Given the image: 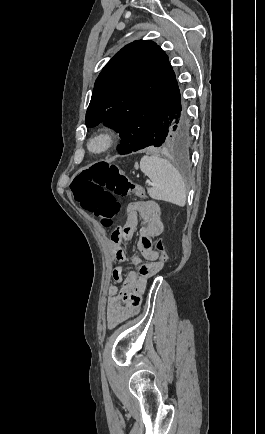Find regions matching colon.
<instances>
[{
  "label": "colon",
  "instance_id": "1",
  "mask_svg": "<svg viewBox=\"0 0 265 434\" xmlns=\"http://www.w3.org/2000/svg\"><path fill=\"white\" fill-rule=\"evenodd\" d=\"M70 202H79L87 211L94 213L105 226H111L120 210L115 195L121 197L141 196L143 187L122 173L118 165L86 164L84 172H75ZM156 258L166 261L167 253L163 238L155 244ZM148 279V278H144Z\"/></svg>",
  "mask_w": 265,
  "mask_h": 434
}]
</instances>
